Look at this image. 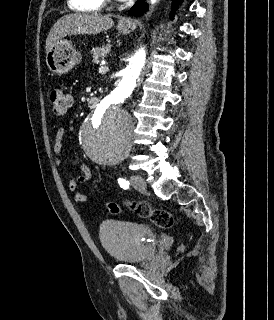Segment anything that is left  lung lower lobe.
<instances>
[{"instance_id": "1", "label": "left lung lower lobe", "mask_w": 274, "mask_h": 320, "mask_svg": "<svg viewBox=\"0 0 274 320\" xmlns=\"http://www.w3.org/2000/svg\"><path fill=\"white\" fill-rule=\"evenodd\" d=\"M178 3L176 0L173 2L172 11L170 13L171 19H173L175 10L177 9ZM148 9V5L144 3V0H137V2L132 6V8L129 10V15L132 16H141L144 14V12Z\"/></svg>"}]
</instances>
